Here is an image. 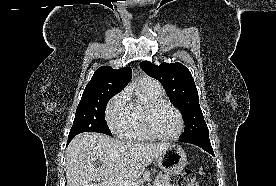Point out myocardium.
<instances>
[{"label":"myocardium","instance_id":"obj_1","mask_svg":"<svg viewBox=\"0 0 276 186\" xmlns=\"http://www.w3.org/2000/svg\"><path fill=\"white\" fill-rule=\"evenodd\" d=\"M162 106H169L170 108H172L175 111V113L177 114V116L179 118V122H180L178 131L174 135L169 136V137H164V136L158 135L155 132V130L153 128V124H152L153 114ZM144 126H145V129H146L148 135L152 139L168 142V141H174L182 135L184 128H185V121H184L183 114L174 104H172L170 101H168L166 99H158V100H154V101L150 102L146 106L145 111H144Z\"/></svg>","mask_w":276,"mask_h":186}]
</instances>
